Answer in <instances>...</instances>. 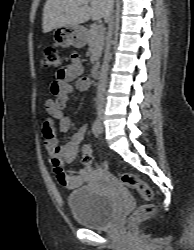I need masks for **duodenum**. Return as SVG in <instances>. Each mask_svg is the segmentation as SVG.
I'll return each mask as SVG.
<instances>
[{"label": "duodenum", "mask_w": 194, "mask_h": 250, "mask_svg": "<svg viewBox=\"0 0 194 250\" xmlns=\"http://www.w3.org/2000/svg\"><path fill=\"white\" fill-rule=\"evenodd\" d=\"M99 74H100V64L95 63L92 67V77L96 80L99 78Z\"/></svg>", "instance_id": "1"}]
</instances>
